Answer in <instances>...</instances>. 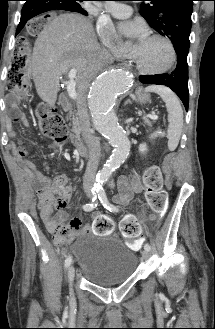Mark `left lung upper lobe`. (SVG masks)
I'll return each instance as SVG.
<instances>
[{
  "instance_id": "left-lung-upper-lobe-1",
  "label": "left lung upper lobe",
  "mask_w": 215,
  "mask_h": 329,
  "mask_svg": "<svg viewBox=\"0 0 215 329\" xmlns=\"http://www.w3.org/2000/svg\"><path fill=\"white\" fill-rule=\"evenodd\" d=\"M142 16L162 36L169 38L175 51H189L191 14L194 0H144Z\"/></svg>"
}]
</instances>
